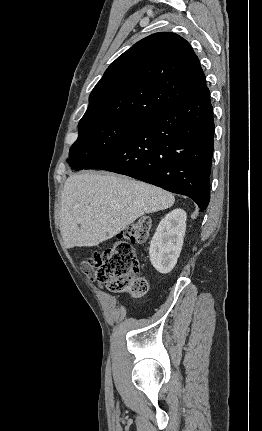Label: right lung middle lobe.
I'll return each instance as SVG.
<instances>
[{
  "label": "right lung middle lobe",
  "mask_w": 262,
  "mask_h": 431,
  "mask_svg": "<svg viewBox=\"0 0 262 431\" xmlns=\"http://www.w3.org/2000/svg\"><path fill=\"white\" fill-rule=\"evenodd\" d=\"M141 120L104 121L79 124V136L71 146L67 163L82 170L121 141Z\"/></svg>",
  "instance_id": "dd1d6c3e"
}]
</instances>
